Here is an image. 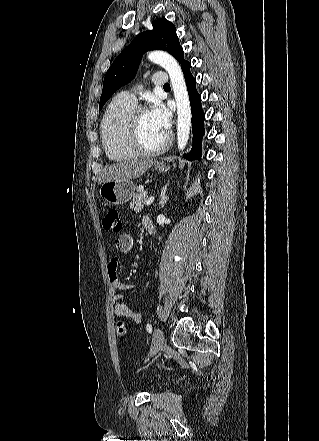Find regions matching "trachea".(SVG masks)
I'll return each instance as SVG.
<instances>
[{
  "mask_svg": "<svg viewBox=\"0 0 319 441\" xmlns=\"http://www.w3.org/2000/svg\"><path fill=\"white\" fill-rule=\"evenodd\" d=\"M163 88H170V85L167 83L163 86Z\"/></svg>",
  "mask_w": 319,
  "mask_h": 441,
  "instance_id": "trachea-1",
  "label": "trachea"
}]
</instances>
